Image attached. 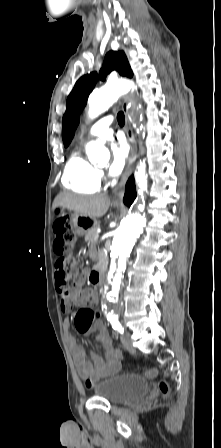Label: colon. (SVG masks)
<instances>
[{
	"mask_svg": "<svg viewBox=\"0 0 221 448\" xmlns=\"http://www.w3.org/2000/svg\"><path fill=\"white\" fill-rule=\"evenodd\" d=\"M53 227L55 230V237L60 241L63 252L62 257L56 266L55 277L61 296H65L69 294V291L75 282L73 275L76 271V263L72 252L76 244V233L72 221L66 217H59L54 222ZM87 315L92 317L93 311L91 309L87 310ZM89 324L90 320H87L86 327L89 326ZM142 374L148 378H155L158 371L156 368H152L144 371ZM85 385L87 388H92L95 385V382L88 379L86 380ZM158 389L165 397L169 395V386L166 381L161 380L158 383Z\"/></svg>",
	"mask_w": 221,
	"mask_h": 448,
	"instance_id": "5ec220e1",
	"label": "colon"
}]
</instances>
